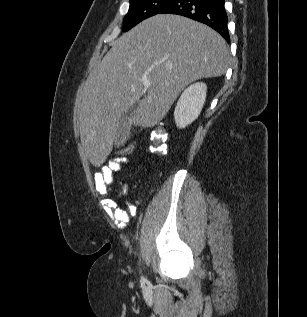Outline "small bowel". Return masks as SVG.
<instances>
[{
  "mask_svg": "<svg viewBox=\"0 0 307 317\" xmlns=\"http://www.w3.org/2000/svg\"><path fill=\"white\" fill-rule=\"evenodd\" d=\"M129 164L130 160L127 157L117 156L102 166L101 170L94 175L95 188L101 196L103 209L119 229L127 227L130 219L136 214V206L133 203H127V210L122 209L115 198L108 196V191L114 182V175L120 173L124 165ZM127 194V187H123L122 195Z\"/></svg>",
  "mask_w": 307,
  "mask_h": 317,
  "instance_id": "c3829d8e",
  "label": "small bowel"
}]
</instances>
